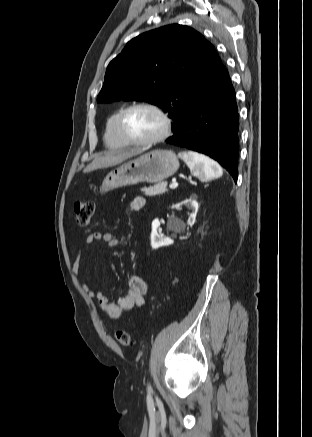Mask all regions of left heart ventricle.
Segmentation results:
<instances>
[{
    "label": "left heart ventricle",
    "instance_id": "left-heart-ventricle-1",
    "mask_svg": "<svg viewBox=\"0 0 312 437\" xmlns=\"http://www.w3.org/2000/svg\"><path fill=\"white\" fill-rule=\"evenodd\" d=\"M125 129L134 139L146 140L157 136L163 129L161 118L148 108L131 111L125 120Z\"/></svg>",
    "mask_w": 312,
    "mask_h": 437
}]
</instances>
